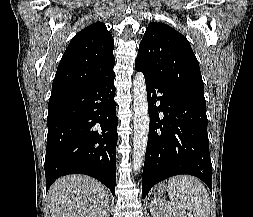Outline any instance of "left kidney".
<instances>
[{
  "mask_svg": "<svg viewBox=\"0 0 253 217\" xmlns=\"http://www.w3.org/2000/svg\"><path fill=\"white\" fill-rule=\"evenodd\" d=\"M152 205L151 212L154 217H187L184 211L175 209L162 199H155L152 201Z\"/></svg>",
  "mask_w": 253,
  "mask_h": 217,
  "instance_id": "obj_1",
  "label": "left kidney"
}]
</instances>
